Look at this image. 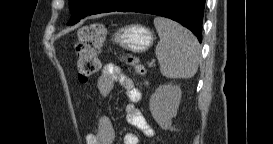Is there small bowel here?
<instances>
[{
  "instance_id": "1",
  "label": "small bowel",
  "mask_w": 273,
  "mask_h": 144,
  "mask_svg": "<svg viewBox=\"0 0 273 144\" xmlns=\"http://www.w3.org/2000/svg\"><path fill=\"white\" fill-rule=\"evenodd\" d=\"M115 84L119 85L123 89L128 100L125 108L128 123L141 130L147 137H153L154 130L136 106V103L141 98L139 89L136 88L133 80L123 74L117 66L109 64L102 69L97 80V88L100 95L106 97ZM114 137L115 132L110 120L106 116H103L99 121V126L96 132L86 136V143L112 144ZM123 143L138 144L139 138L135 133L128 132L124 135Z\"/></svg>"
}]
</instances>
